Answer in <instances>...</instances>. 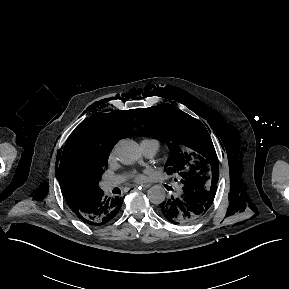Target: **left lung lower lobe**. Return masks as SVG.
<instances>
[{"mask_svg":"<svg viewBox=\"0 0 289 289\" xmlns=\"http://www.w3.org/2000/svg\"><path fill=\"white\" fill-rule=\"evenodd\" d=\"M216 185L209 186L196 181L183 185L178 197H171L161 203L160 209L164 217L176 224L187 225L202 217L212 205L215 197Z\"/></svg>","mask_w":289,"mask_h":289,"instance_id":"left-lung-lower-lobe-1","label":"left lung lower lobe"}]
</instances>
